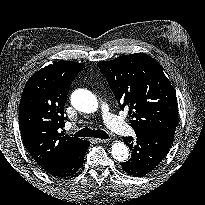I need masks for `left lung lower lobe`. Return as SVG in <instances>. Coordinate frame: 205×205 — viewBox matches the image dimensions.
I'll use <instances>...</instances> for the list:
<instances>
[{
    "label": "left lung lower lobe",
    "instance_id": "1",
    "mask_svg": "<svg viewBox=\"0 0 205 205\" xmlns=\"http://www.w3.org/2000/svg\"><path fill=\"white\" fill-rule=\"evenodd\" d=\"M174 133L170 131L125 137L124 142L132 150L130 160L121 164L122 169L132 176H143L151 172L168 153Z\"/></svg>",
    "mask_w": 205,
    "mask_h": 205
}]
</instances>
